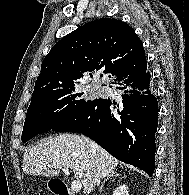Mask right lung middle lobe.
<instances>
[{
    "label": "right lung middle lobe",
    "mask_w": 189,
    "mask_h": 195,
    "mask_svg": "<svg viewBox=\"0 0 189 195\" xmlns=\"http://www.w3.org/2000/svg\"><path fill=\"white\" fill-rule=\"evenodd\" d=\"M92 101L85 97L79 86L65 88L32 101L26 114L22 142L54 129Z\"/></svg>",
    "instance_id": "right-lung-middle-lobe-1"
}]
</instances>
